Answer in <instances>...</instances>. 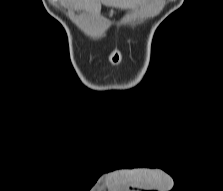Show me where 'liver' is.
Masks as SVG:
<instances>
[{
    "instance_id": "1",
    "label": "liver",
    "mask_w": 223,
    "mask_h": 191,
    "mask_svg": "<svg viewBox=\"0 0 223 191\" xmlns=\"http://www.w3.org/2000/svg\"><path fill=\"white\" fill-rule=\"evenodd\" d=\"M76 10H84L88 13L99 15L101 3L105 6L119 9H130L135 6L139 0H71Z\"/></svg>"
}]
</instances>
